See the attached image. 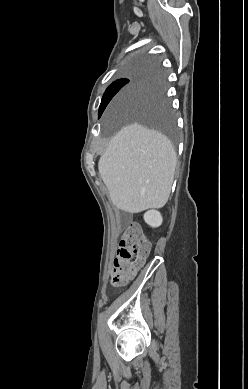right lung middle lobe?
Here are the masks:
<instances>
[{
    "label": "right lung middle lobe",
    "mask_w": 248,
    "mask_h": 389,
    "mask_svg": "<svg viewBox=\"0 0 248 389\" xmlns=\"http://www.w3.org/2000/svg\"><path fill=\"white\" fill-rule=\"evenodd\" d=\"M132 86L144 85L148 94L141 100H134L125 107L129 117L163 133L170 141L176 142L174 118L168 100L165 98L163 79L151 61L134 65L128 79L113 82L105 91L99 107L100 117L115 94L127 83Z\"/></svg>",
    "instance_id": "dd1d6c3e"
}]
</instances>
